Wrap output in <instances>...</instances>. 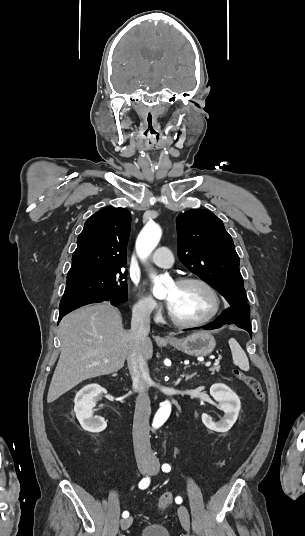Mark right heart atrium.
I'll return each mask as SVG.
<instances>
[{
    "instance_id": "right-heart-atrium-1",
    "label": "right heart atrium",
    "mask_w": 305,
    "mask_h": 536,
    "mask_svg": "<svg viewBox=\"0 0 305 536\" xmlns=\"http://www.w3.org/2000/svg\"><path fill=\"white\" fill-rule=\"evenodd\" d=\"M135 291V301L132 308L133 314L139 318H149L157 314L158 306L156 302L151 297L141 294L137 289Z\"/></svg>"
}]
</instances>
